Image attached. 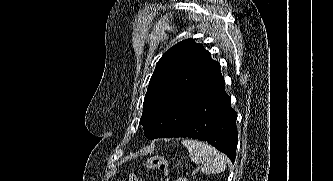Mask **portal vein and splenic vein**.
Masks as SVG:
<instances>
[{
	"instance_id": "18ae733b",
	"label": "portal vein and splenic vein",
	"mask_w": 333,
	"mask_h": 181,
	"mask_svg": "<svg viewBox=\"0 0 333 181\" xmlns=\"http://www.w3.org/2000/svg\"><path fill=\"white\" fill-rule=\"evenodd\" d=\"M198 171V169H196L194 172H192V175H195V173Z\"/></svg>"
}]
</instances>
